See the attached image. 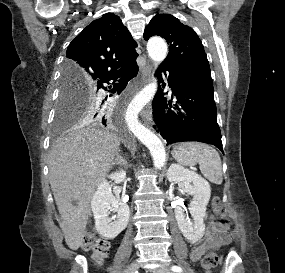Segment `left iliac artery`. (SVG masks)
I'll return each instance as SVG.
<instances>
[{
	"label": "left iliac artery",
	"mask_w": 285,
	"mask_h": 273,
	"mask_svg": "<svg viewBox=\"0 0 285 273\" xmlns=\"http://www.w3.org/2000/svg\"><path fill=\"white\" fill-rule=\"evenodd\" d=\"M171 270L177 273H181L183 271L180 266H176V265L172 266Z\"/></svg>",
	"instance_id": "44dca946"
}]
</instances>
